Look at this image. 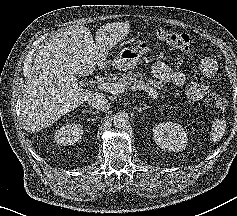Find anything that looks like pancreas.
<instances>
[{
  "label": "pancreas",
  "instance_id": "1",
  "mask_svg": "<svg viewBox=\"0 0 237 216\" xmlns=\"http://www.w3.org/2000/svg\"><path fill=\"white\" fill-rule=\"evenodd\" d=\"M122 81L128 86L132 85L133 82H136L139 84L141 90L151 91L150 94L158 93L162 98H165L166 89L163 88L162 83L151 78H144L139 72L130 71L123 74Z\"/></svg>",
  "mask_w": 237,
  "mask_h": 216
}]
</instances>
